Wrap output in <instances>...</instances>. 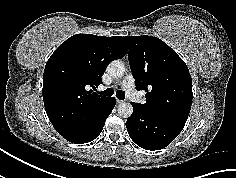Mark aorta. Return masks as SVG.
Masks as SVG:
<instances>
[{
    "label": "aorta",
    "mask_w": 236,
    "mask_h": 178,
    "mask_svg": "<svg viewBox=\"0 0 236 178\" xmlns=\"http://www.w3.org/2000/svg\"><path fill=\"white\" fill-rule=\"evenodd\" d=\"M108 72L112 77H121L125 72L124 64L119 60H114L108 65ZM118 114L123 118H128L133 113V106L129 102H122L117 107Z\"/></svg>",
    "instance_id": "1"
}]
</instances>
